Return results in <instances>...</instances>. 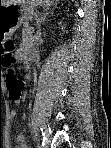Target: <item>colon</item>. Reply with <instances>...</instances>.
I'll use <instances>...</instances> for the list:
<instances>
[{"mask_svg":"<svg viewBox=\"0 0 111 148\" xmlns=\"http://www.w3.org/2000/svg\"><path fill=\"white\" fill-rule=\"evenodd\" d=\"M10 48L13 44L9 43ZM12 56H5L2 60L4 67H8L13 62ZM4 82L7 88L8 97L11 101H17L21 97L22 81L21 78L12 70L8 69L4 72Z\"/></svg>","mask_w":111,"mask_h":148,"instance_id":"5ec220e1","label":"colon"}]
</instances>
